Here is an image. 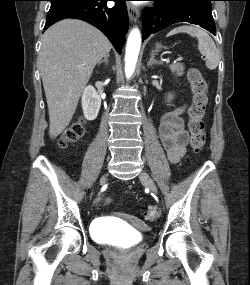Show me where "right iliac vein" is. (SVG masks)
I'll use <instances>...</instances> for the list:
<instances>
[{"mask_svg": "<svg viewBox=\"0 0 250 285\" xmlns=\"http://www.w3.org/2000/svg\"><path fill=\"white\" fill-rule=\"evenodd\" d=\"M106 177L105 176H102L101 180H100V183H103L105 181Z\"/></svg>", "mask_w": 250, "mask_h": 285, "instance_id": "63e3f726", "label": "right iliac vein"}]
</instances>
